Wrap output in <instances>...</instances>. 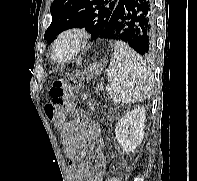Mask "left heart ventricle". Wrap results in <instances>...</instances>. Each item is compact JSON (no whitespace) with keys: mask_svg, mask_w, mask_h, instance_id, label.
<instances>
[{"mask_svg":"<svg viewBox=\"0 0 197 181\" xmlns=\"http://www.w3.org/2000/svg\"><path fill=\"white\" fill-rule=\"evenodd\" d=\"M76 45V39L74 37H67L63 39L57 46L56 57L58 59H64L68 57L74 50Z\"/></svg>","mask_w":197,"mask_h":181,"instance_id":"b2bd125f","label":"left heart ventricle"}]
</instances>
